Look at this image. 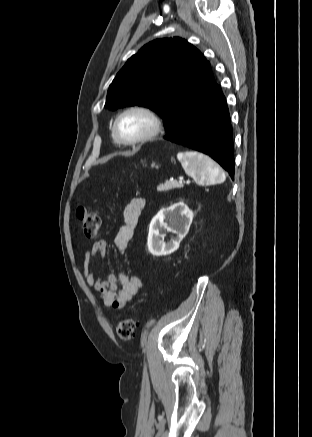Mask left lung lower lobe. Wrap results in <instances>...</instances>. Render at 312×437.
Returning <instances> with one entry per match:
<instances>
[{
  "label": "left lung lower lobe",
  "instance_id": "left-lung-lower-lobe-1",
  "mask_svg": "<svg viewBox=\"0 0 312 437\" xmlns=\"http://www.w3.org/2000/svg\"><path fill=\"white\" fill-rule=\"evenodd\" d=\"M164 138L209 155L234 178L230 115L217 84L194 105L174 132Z\"/></svg>",
  "mask_w": 312,
  "mask_h": 437
}]
</instances>
